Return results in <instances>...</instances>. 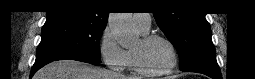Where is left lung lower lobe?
<instances>
[{"instance_id":"0a47b994","label":"left lung lower lobe","mask_w":255,"mask_h":79,"mask_svg":"<svg viewBox=\"0 0 255 79\" xmlns=\"http://www.w3.org/2000/svg\"><path fill=\"white\" fill-rule=\"evenodd\" d=\"M182 71L202 73L211 77L212 79H221V72H220L218 64L198 65L191 68H187Z\"/></svg>"}]
</instances>
